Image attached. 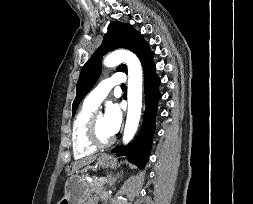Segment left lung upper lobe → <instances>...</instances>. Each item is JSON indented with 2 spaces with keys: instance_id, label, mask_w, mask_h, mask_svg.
I'll return each mask as SVG.
<instances>
[{
  "instance_id": "5c2ea615",
  "label": "left lung upper lobe",
  "mask_w": 253,
  "mask_h": 204,
  "mask_svg": "<svg viewBox=\"0 0 253 204\" xmlns=\"http://www.w3.org/2000/svg\"><path fill=\"white\" fill-rule=\"evenodd\" d=\"M117 48H126L133 51L140 61H142L149 50L148 44L143 39L141 33L133 29L131 25L118 21L111 22L101 46L82 68L76 85V98L72 105L73 116L79 103L99 78L102 56ZM126 70V65H121L117 68V71L125 72Z\"/></svg>"
}]
</instances>
